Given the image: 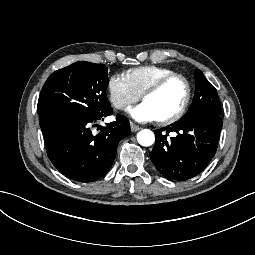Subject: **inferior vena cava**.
<instances>
[{"mask_svg": "<svg viewBox=\"0 0 255 255\" xmlns=\"http://www.w3.org/2000/svg\"><path fill=\"white\" fill-rule=\"evenodd\" d=\"M123 105H125V101L123 100V98L117 99V101L115 102V107L120 108Z\"/></svg>", "mask_w": 255, "mask_h": 255, "instance_id": "602c4592", "label": "inferior vena cava"}]
</instances>
